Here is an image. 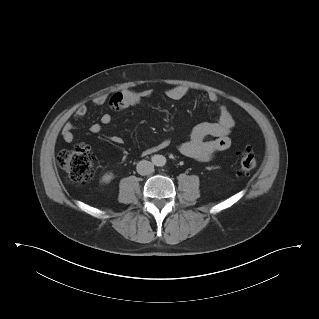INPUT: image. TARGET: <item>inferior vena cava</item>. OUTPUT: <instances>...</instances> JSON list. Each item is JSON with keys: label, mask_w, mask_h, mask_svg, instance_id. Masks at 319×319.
Returning a JSON list of instances; mask_svg holds the SVG:
<instances>
[{"label": "inferior vena cava", "mask_w": 319, "mask_h": 319, "mask_svg": "<svg viewBox=\"0 0 319 319\" xmlns=\"http://www.w3.org/2000/svg\"><path fill=\"white\" fill-rule=\"evenodd\" d=\"M136 169L140 175H148L154 171V165L150 161L142 160L137 164Z\"/></svg>", "instance_id": "obj_1"}]
</instances>
